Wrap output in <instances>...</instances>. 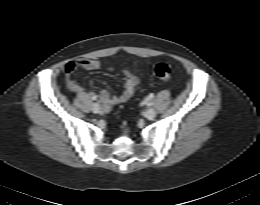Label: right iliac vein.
Listing matches in <instances>:
<instances>
[{"label": "right iliac vein", "instance_id": "63e3f726", "mask_svg": "<svg viewBox=\"0 0 260 205\" xmlns=\"http://www.w3.org/2000/svg\"><path fill=\"white\" fill-rule=\"evenodd\" d=\"M101 109V106L97 102L92 104V111L94 113H99Z\"/></svg>", "mask_w": 260, "mask_h": 205}]
</instances>
